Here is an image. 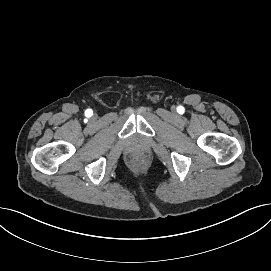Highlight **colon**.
<instances>
[{"instance_id": "5ec220e1", "label": "colon", "mask_w": 271, "mask_h": 271, "mask_svg": "<svg viewBox=\"0 0 271 271\" xmlns=\"http://www.w3.org/2000/svg\"><path fill=\"white\" fill-rule=\"evenodd\" d=\"M135 163H136V164H141V163H142V159H141V158H137V159L135 160Z\"/></svg>"}]
</instances>
